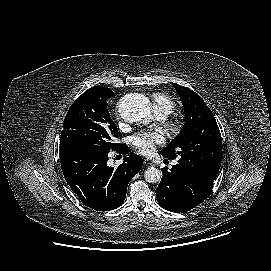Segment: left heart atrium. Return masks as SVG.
I'll list each match as a JSON object with an SVG mask.
<instances>
[{
    "label": "left heart atrium",
    "instance_id": "obj_1",
    "mask_svg": "<svg viewBox=\"0 0 271 271\" xmlns=\"http://www.w3.org/2000/svg\"><path fill=\"white\" fill-rule=\"evenodd\" d=\"M162 142L163 136L159 131L141 132L133 139L136 149L143 155L153 154L156 145L161 144Z\"/></svg>",
    "mask_w": 271,
    "mask_h": 271
}]
</instances>
